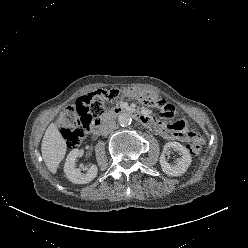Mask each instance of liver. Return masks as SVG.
<instances>
[{"mask_svg":"<svg viewBox=\"0 0 248 248\" xmlns=\"http://www.w3.org/2000/svg\"><path fill=\"white\" fill-rule=\"evenodd\" d=\"M66 141L57 129L56 125L50 124L45 131L41 143L42 157L49 171L57 172L60 162L66 154Z\"/></svg>","mask_w":248,"mask_h":248,"instance_id":"6515ba94","label":"liver"}]
</instances>
